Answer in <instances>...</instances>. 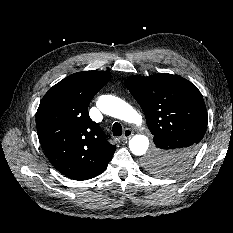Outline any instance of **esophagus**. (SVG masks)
I'll list each match as a JSON object with an SVG mask.
<instances>
[{"label":"esophagus","instance_id":"1","mask_svg":"<svg viewBox=\"0 0 233 233\" xmlns=\"http://www.w3.org/2000/svg\"><path fill=\"white\" fill-rule=\"evenodd\" d=\"M132 135H133V132L130 129L127 128V129L124 130V133H123V135L121 137V140H127L130 137H132Z\"/></svg>","mask_w":233,"mask_h":233}]
</instances>
